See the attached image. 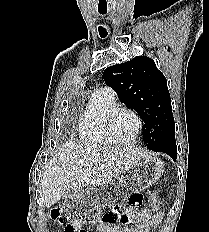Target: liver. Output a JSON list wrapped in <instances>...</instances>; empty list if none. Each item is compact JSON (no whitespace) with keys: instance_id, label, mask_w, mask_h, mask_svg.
I'll list each match as a JSON object with an SVG mask.
<instances>
[{"instance_id":"liver-1","label":"liver","mask_w":209,"mask_h":232,"mask_svg":"<svg viewBox=\"0 0 209 232\" xmlns=\"http://www.w3.org/2000/svg\"><path fill=\"white\" fill-rule=\"evenodd\" d=\"M150 154L137 147L70 142L58 150L43 174L42 197L50 208L71 191L104 185Z\"/></svg>"}]
</instances>
